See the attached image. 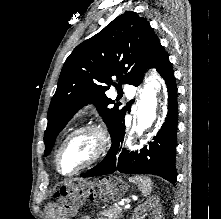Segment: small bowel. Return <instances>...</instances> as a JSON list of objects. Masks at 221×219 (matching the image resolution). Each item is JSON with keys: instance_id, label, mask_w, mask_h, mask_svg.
Segmentation results:
<instances>
[{"instance_id": "obj_1", "label": "small bowel", "mask_w": 221, "mask_h": 219, "mask_svg": "<svg viewBox=\"0 0 221 219\" xmlns=\"http://www.w3.org/2000/svg\"><path fill=\"white\" fill-rule=\"evenodd\" d=\"M82 219H91L89 217H83ZM99 219H104V218H99Z\"/></svg>"}]
</instances>
